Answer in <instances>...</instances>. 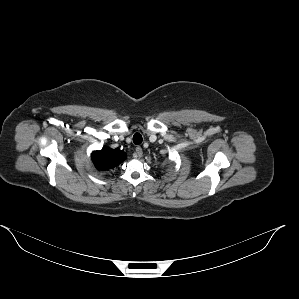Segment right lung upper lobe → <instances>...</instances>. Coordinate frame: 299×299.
Instances as JSON below:
<instances>
[{"mask_svg":"<svg viewBox=\"0 0 299 299\" xmlns=\"http://www.w3.org/2000/svg\"><path fill=\"white\" fill-rule=\"evenodd\" d=\"M91 158L97 169L108 170L124 161L126 154L120 149L104 147L100 151H94Z\"/></svg>","mask_w":299,"mask_h":299,"instance_id":"cb5924a9","label":"right lung upper lobe"}]
</instances>
